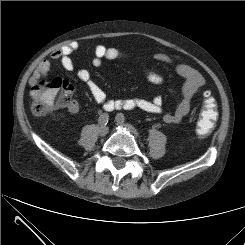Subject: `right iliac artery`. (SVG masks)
Instances as JSON below:
<instances>
[{
	"mask_svg": "<svg viewBox=\"0 0 245 245\" xmlns=\"http://www.w3.org/2000/svg\"><path fill=\"white\" fill-rule=\"evenodd\" d=\"M108 120H109V115L107 113H103L100 115L98 119V123L100 125H106L108 123Z\"/></svg>",
	"mask_w": 245,
	"mask_h": 245,
	"instance_id": "obj_1",
	"label": "right iliac artery"
}]
</instances>
